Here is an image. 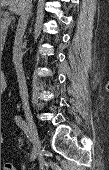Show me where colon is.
<instances>
[{
    "label": "colon",
    "instance_id": "colon-1",
    "mask_svg": "<svg viewBox=\"0 0 109 170\" xmlns=\"http://www.w3.org/2000/svg\"><path fill=\"white\" fill-rule=\"evenodd\" d=\"M4 170H18V169L11 164H6Z\"/></svg>",
    "mask_w": 109,
    "mask_h": 170
}]
</instances>
